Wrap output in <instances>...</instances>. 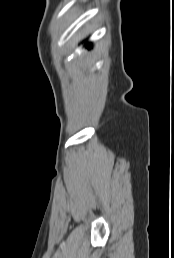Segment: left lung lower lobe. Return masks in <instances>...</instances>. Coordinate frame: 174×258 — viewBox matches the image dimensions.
<instances>
[{
	"label": "left lung lower lobe",
	"instance_id": "1",
	"mask_svg": "<svg viewBox=\"0 0 174 258\" xmlns=\"http://www.w3.org/2000/svg\"><path fill=\"white\" fill-rule=\"evenodd\" d=\"M87 47L89 48V47H90V44H88Z\"/></svg>",
	"mask_w": 174,
	"mask_h": 258
}]
</instances>
